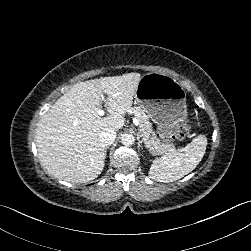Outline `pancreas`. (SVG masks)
Listing matches in <instances>:
<instances>
[{"mask_svg":"<svg viewBox=\"0 0 251 251\" xmlns=\"http://www.w3.org/2000/svg\"><path fill=\"white\" fill-rule=\"evenodd\" d=\"M129 113L138 118V129L146 146L156 155H162L166 151H172L175 148L170 144H165L157 139L156 133L152 132V123L140 106H132L128 109Z\"/></svg>","mask_w":251,"mask_h":251,"instance_id":"pancreas-1","label":"pancreas"}]
</instances>
